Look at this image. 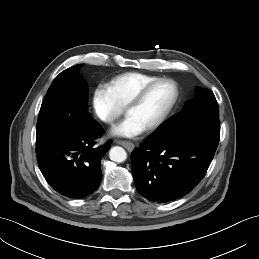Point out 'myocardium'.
Returning a JSON list of instances; mask_svg holds the SVG:
<instances>
[{
    "label": "myocardium",
    "instance_id": "1",
    "mask_svg": "<svg viewBox=\"0 0 259 259\" xmlns=\"http://www.w3.org/2000/svg\"><path fill=\"white\" fill-rule=\"evenodd\" d=\"M170 83L173 88H174V96L173 99L171 101V103L169 104V106L167 107V109L164 111V113L161 115V117L156 120L154 123H152L151 125H149L148 127L145 128L146 132H151L154 131L156 129H158L160 126H162L165 121L168 119V117L170 116V114L173 112L174 108L176 107L178 101H179V97H180V89L179 86L177 84V82L171 78H167V77H163V78H157L151 82H149L148 84L144 85L143 87H141L126 103L125 107H124V112L127 114V112L135 107L136 105H138L142 99L144 98V96L147 94V92L155 85L159 84V83Z\"/></svg>",
    "mask_w": 259,
    "mask_h": 259
}]
</instances>
